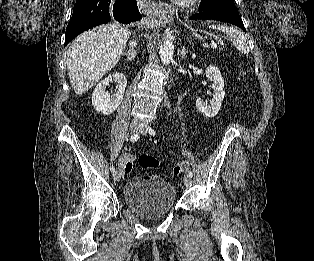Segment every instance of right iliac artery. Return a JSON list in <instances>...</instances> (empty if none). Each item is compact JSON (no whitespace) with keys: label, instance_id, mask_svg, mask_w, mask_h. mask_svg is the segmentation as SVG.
<instances>
[{"label":"right iliac artery","instance_id":"1","mask_svg":"<svg viewBox=\"0 0 314 261\" xmlns=\"http://www.w3.org/2000/svg\"><path fill=\"white\" fill-rule=\"evenodd\" d=\"M138 139H139V135L138 134H134V135L131 136L130 141H137ZM110 171L112 173H114L115 172V168L112 166L110 168Z\"/></svg>","mask_w":314,"mask_h":261}]
</instances>
